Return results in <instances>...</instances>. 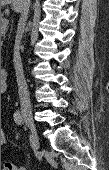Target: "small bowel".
<instances>
[{
	"label": "small bowel",
	"mask_w": 109,
	"mask_h": 170,
	"mask_svg": "<svg viewBox=\"0 0 109 170\" xmlns=\"http://www.w3.org/2000/svg\"><path fill=\"white\" fill-rule=\"evenodd\" d=\"M1 143H2V144L5 143V138H4V137L1 138Z\"/></svg>",
	"instance_id": "c3829d8e"
}]
</instances>
